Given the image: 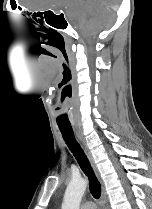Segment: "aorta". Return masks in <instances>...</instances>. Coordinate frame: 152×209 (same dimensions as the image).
Segmentation results:
<instances>
[{
	"label": "aorta",
	"mask_w": 152,
	"mask_h": 209,
	"mask_svg": "<svg viewBox=\"0 0 152 209\" xmlns=\"http://www.w3.org/2000/svg\"><path fill=\"white\" fill-rule=\"evenodd\" d=\"M86 187L85 179H73L66 188L61 209H79Z\"/></svg>",
	"instance_id": "1"
}]
</instances>
